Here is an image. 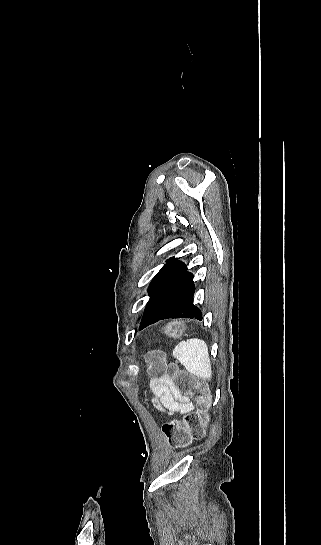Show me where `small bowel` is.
<instances>
[{
  "label": "small bowel",
  "instance_id": "small-bowel-1",
  "mask_svg": "<svg viewBox=\"0 0 321 545\" xmlns=\"http://www.w3.org/2000/svg\"><path fill=\"white\" fill-rule=\"evenodd\" d=\"M151 389L158 408L170 415L186 414L194 409V405L188 397L173 390L171 379L168 376L153 380Z\"/></svg>",
  "mask_w": 321,
  "mask_h": 545
}]
</instances>
